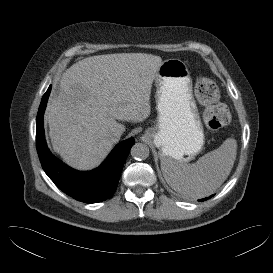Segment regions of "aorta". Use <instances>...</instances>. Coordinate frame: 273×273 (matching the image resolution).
I'll return each mask as SVG.
<instances>
[{"mask_svg":"<svg viewBox=\"0 0 273 273\" xmlns=\"http://www.w3.org/2000/svg\"><path fill=\"white\" fill-rule=\"evenodd\" d=\"M130 153L136 160H145L149 156V147L144 143H136L132 146Z\"/></svg>","mask_w":273,"mask_h":273,"instance_id":"762f6f07","label":"aorta"}]
</instances>
